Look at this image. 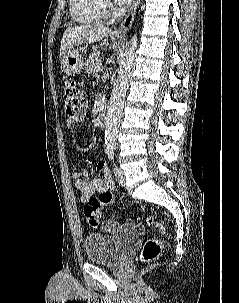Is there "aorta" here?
Instances as JSON below:
<instances>
[{"mask_svg":"<svg viewBox=\"0 0 239 303\" xmlns=\"http://www.w3.org/2000/svg\"><path fill=\"white\" fill-rule=\"evenodd\" d=\"M137 35L128 43L119 61L118 76L115 80L105 117V141L115 142L121 114L124 108L125 96L129 87L130 77L134 67Z\"/></svg>","mask_w":239,"mask_h":303,"instance_id":"aorta-1","label":"aorta"}]
</instances>
